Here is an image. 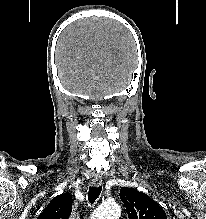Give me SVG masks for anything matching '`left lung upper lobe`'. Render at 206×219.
<instances>
[{
  "label": "left lung upper lobe",
  "mask_w": 206,
  "mask_h": 219,
  "mask_svg": "<svg viewBox=\"0 0 206 219\" xmlns=\"http://www.w3.org/2000/svg\"><path fill=\"white\" fill-rule=\"evenodd\" d=\"M120 199L129 219H167L165 211L157 202L136 189L121 188Z\"/></svg>",
  "instance_id": "obj_1"
}]
</instances>
